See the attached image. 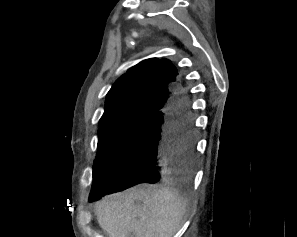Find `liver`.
Here are the masks:
<instances>
[{
	"instance_id": "obj_1",
	"label": "liver",
	"mask_w": 297,
	"mask_h": 237,
	"mask_svg": "<svg viewBox=\"0 0 297 237\" xmlns=\"http://www.w3.org/2000/svg\"><path fill=\"white\" fill-rule=\"evenodd\" d=\"M187 204L170 187H134L102 198L97 204V221L108 237H173Z\"/></svg>"
}]
</instances>
